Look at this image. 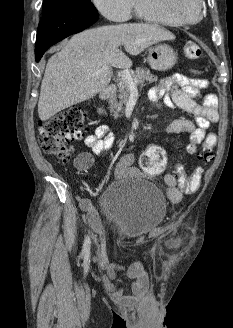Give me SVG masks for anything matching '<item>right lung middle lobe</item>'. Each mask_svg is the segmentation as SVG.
Returning <instances> with one entry per match:
<instances>
[{
    "instance_id": "right-lung-middle-lobe-1",
    "label": "right lung middle lobe",
    "mask_w": 233,
    "mask_h": 328,
    "mask_svg": "<svg viewBox=\"0 0 233 328\" xmlns=\"http://www.w3.org/2000/svg\"><path fill=\"white\" fill-rule=\"evenodd\" d=\"M43 8H70L96 11L90 0H44Z\"/></svg>"
}]
</instances>
